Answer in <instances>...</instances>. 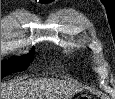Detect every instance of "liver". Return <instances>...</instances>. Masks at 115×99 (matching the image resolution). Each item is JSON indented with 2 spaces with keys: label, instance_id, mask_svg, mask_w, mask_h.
<instances>
[{
  "label": "liver",
  "instance_id": "1",
  "mask_svg": "<svg viewBox=\"0 0 115 99\" xmlns=\"http://www.w3.org/2000/svg\"><path fill=\"white\" fill-rule=\"evenodd\" d=\"M71 84L55 79H32L12 83L1 90V99H68Z\"/></svg>",
  "mask_w": 115,
  "mask_h": 99
}]
</instances>
